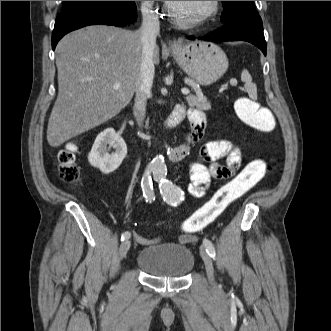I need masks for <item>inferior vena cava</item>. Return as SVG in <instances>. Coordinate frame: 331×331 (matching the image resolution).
<instances>
[{"label": "inferior vena cava", "instance_id": "obj_1", "mask_svg": "<svg viewBox=\"0 0 331 331\" xmlns=\"http://www.w3.org/2000/svg\"><path fill=\"white\" fill-rule=\"evenodd\" d=\"M142 17L143 21L139 29L142 43L140 82L135 91L133 107V114L138 124H141L145 118L147 99L151 95L154 78L153 51L160 31L158 16L150 8H142Z\"/></svg>", "mask_w": 331, "mask_h": 331}]
</instances>
